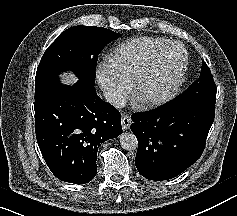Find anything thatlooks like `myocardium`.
I'll list each match as a JSON object with an SVG mask.
<instances>
[{
	"label": "myocardium",
	"mask_w": 237,
	"mask_h": 216,
	"mask_svg": "<svg viewBox=\"0 0 237 216\" xmlns=\"http://www.w3.org/2000/svg\"><path fill=\"white\" fill-rule=\"evenodd\" d=\"M176 56L182 57L183 59L182 67L176 81L162 95L156 98H145L139 96V88L143 76L148 74L160 61H164L168 57ZM187 60V52L180 44L171 48H164L163 46L159 53H155L149 58L148 61L145 62L142 66V71L135 78L131 92V101L133 105L138 109H144L147 107L159 106L171 99L178 92L184 82Z\"/></svg>",
	"instance_id": "1"
}]
</instances>
